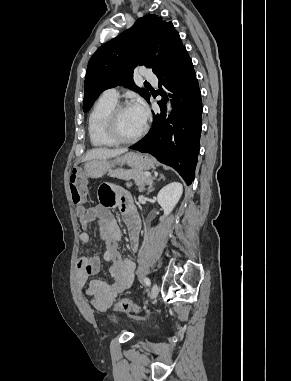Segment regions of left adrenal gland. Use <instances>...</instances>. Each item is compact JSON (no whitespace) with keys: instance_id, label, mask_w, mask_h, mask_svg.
I'll return each instance as SVG.
<instances>
[{"instance_id":"obj_1","label":"left adrenal gland","mask_w":291,"mask_h":381,"mask_svg":"<svg viewBox=\"0 0 291 381\" xmlns=\"http://www.w3.org/2000/svg\"><path fill=\"white\" fill-rule=\"evenodd\" d=\"M160 176H161L160 178L164 180V176H163L162 174H161ZM147 190H148V192H151V191L154 190V189H153V182H151V183L148 184V188H147Z\"/></svg>"}]
</instances>
